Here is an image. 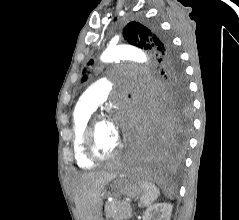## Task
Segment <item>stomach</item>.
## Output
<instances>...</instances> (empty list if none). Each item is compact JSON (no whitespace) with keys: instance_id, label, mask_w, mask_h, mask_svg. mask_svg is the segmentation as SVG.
<instances>
[{"instance_id":"0dacf381","label":"stomach","mask_w":239,"mask_h":220,"mask_svg":"<svg viewBox=\"0 0 239 220\" xmlns=\"http://www.w3.org/2000/svg\"><path fill=\"white\" fill-rule=\"evenodd\" d=\"M110 188L112 192H120V195L128 197H139L143 193L139 183L134 178H117V183H111ZM100 217H102V211Z\"/></svg>"}]
</instances>
